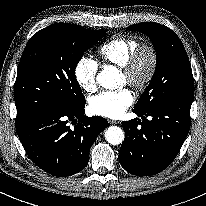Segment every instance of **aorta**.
I'll return each mask as SVG.
<instances>
[{"label":"aorta","mask_w":206,"mask_h":206,"mask_svg":"<svg viewBox=\"0 0 206 206\" xmlns=\"http://www.w3.org/2000/svg\"><path fill=\"white\" fill-rule=\"evenodd\" d=\"M118 78V70L108 66L97 76V82L105 89H114ZM105 139L111 145H119L124 140V132L120 127L110 126L105 131Z\"/></svg>","instance_id":"1"}]
</instances>
